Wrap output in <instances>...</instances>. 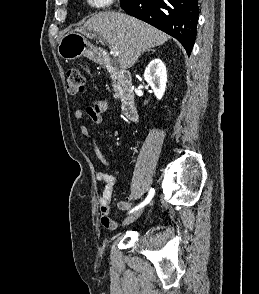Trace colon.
<instances>
[{"label": "colon", "mask_w": 259, "mask_h": 294, "mask_svg": "<svg viewBox=\"0 0 259 294\" xmlns=\"http://www.w3.org/2000/svg\"><path fill=\"white\" fill-rule=\"evenodd\" d=\"M66 86L70 94L76 95L84 91L85 79L81 71L76 67H71L67 71Z\"/></svg>", "instance_id": "5ec220e1"}]
</instances>
